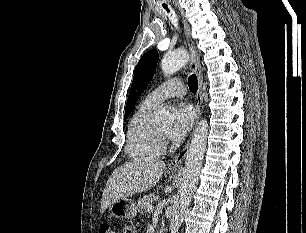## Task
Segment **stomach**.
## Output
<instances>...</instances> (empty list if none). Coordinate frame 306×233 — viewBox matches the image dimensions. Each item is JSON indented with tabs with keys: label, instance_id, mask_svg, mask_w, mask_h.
Listing matches in <instances>:
<instances>
[{
	"label": "stomach",
	"instance_id": "stomach-1",
	"mask_svg": "<svg viewBox=\"0 0 306 233\" xmlns=\"http://www.w3.org/2000/svg\"><path fill=\"white\" fill-rule=\"evenodd\" d=\"M109 213L119 219H132L137 215V206L132 199L121 198L109 206Z\"/></svg>",
	"mask_w": 306,
	"mask_h": 233
}]
</instances>
